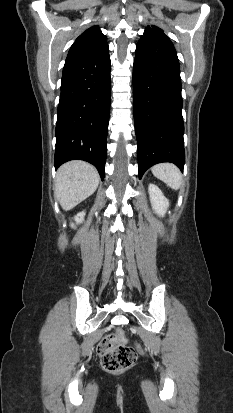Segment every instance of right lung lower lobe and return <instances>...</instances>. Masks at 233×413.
Instances as JSON below:
<instances>
[{"instance_id": "right-lung-lower-lobe-1", "label": "right lung lower lobe", "mask_w": 233, "mask_h": 413, "mask_svg": "<svg viewBox=\"0 0 233 413\" xmlns=\"http://www.w3.org/2000/svg\"><path fill=\"white\" fill-rule=\"evenodd\" d=\"M108 44L68 55L57 109L55 168L80 159L93 164L103 180L110 114Z\"/></svg>"}]
</instances>
